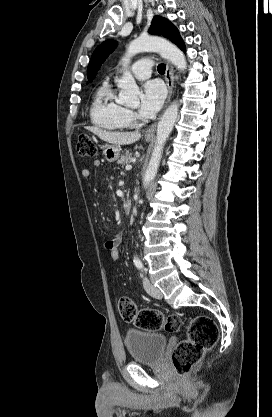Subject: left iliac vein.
Segmentation results:
<instances>
[{
	"label": "left iliac vein",
	"mask_w": 272,
	"mask_h": 417,
	"mask_svg": "<svg viewBox=\"0 0 272 417\" xmlns=\"http://www.w3.org/2000/svg\"><path fill=\"white\" fill-rule=\"evenodd\" d=\"M143 284H144V288H145V290H146V292L150 295V296H152V297H154V298H156V299H161L162 298V293H161V291L157 288V287H155L150 281H149V279L147 278V277H145L144 279H143Z\"/></svg>",
	"instance_id": "1"
}]
</instances>
